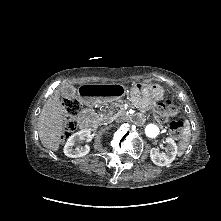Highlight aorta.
I'll list each match as a JSON object with an SVG mask.
<instances>
[{
    "mask_svg": "<svg viewBox=\"0 0 221 221\" xmlns=\"http://www.w3.org/2000/svg\"><path fill=\"white\" fill-rule=\"evenodd\" d=\"M145 134L151 138L156 137L159 134V128L154 124H149L145 128Z\"/></svg>",
    "mask_w": 221,
    "mask_h": 221,
    "instance_id": "aorta-1",
    "label": "aorta"
}]
</instances>
